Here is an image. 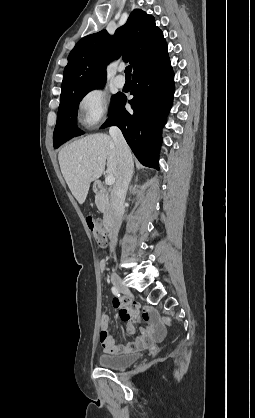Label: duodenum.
<instances>
[{
	"label": "duodenum",
	"mask_w": 255,
	"mask_h": 418,
	"mask_svg": "<svg viewBox=\"0 0 255 418\" xmlns=\"http://www.w3.org/2000/svg\"><path fill=\"white\" fill-rule=\"evenodd\" d=\"M93 190L96 194L102 197H109V189L101 182H95ZM118 211L110 205L106 211V215L103 220V229L105 232H112L117 226Z\"/></svg>",
	"instance_id": "duodenum-1"
}]
</instances>
